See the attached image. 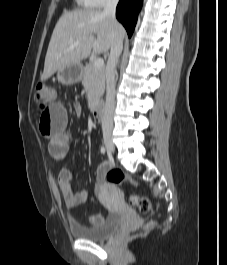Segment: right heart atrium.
Returning a JSON list of instances; mask_svg holds the SVG:
<instances>
[{
	"label": "right heart atrium",
	"instance_id": "obj_1",
	"mask_svg": "<svg viewBox=\"0 0 227 265\" xmlns=\"http://www.w3.org/2000/svg\"><path fill=\"white\" fill-rule=\"evenodd\" d=\"M116 0H90L92 6L94 7H103L107 4L115 2Z\"/></svg>",
	"mask_w": 227,
	"mask_h": 265
}]
</instances>
